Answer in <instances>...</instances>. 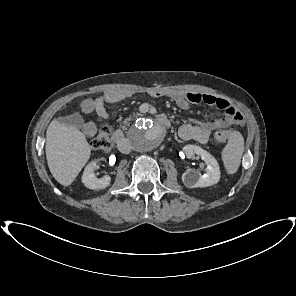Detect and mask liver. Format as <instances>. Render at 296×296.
<instances>
[{
    "label": "liver",
    "instance_id": "liver-1",
    "mask_svg": "<svg viewBox=\"0 0 296 296\" xmlns=\"http://www.w3.org/2000/svg\"><path fill=\"white\" fill-rule=\"evenodd\" d=\"M45 152L53 177L61 185L69 186L89 160L91 148L80 130L54 119L46 131Z\"/></svg>",
    "mask_w": 296,
    "mask_h": 296
}]
</instances>
